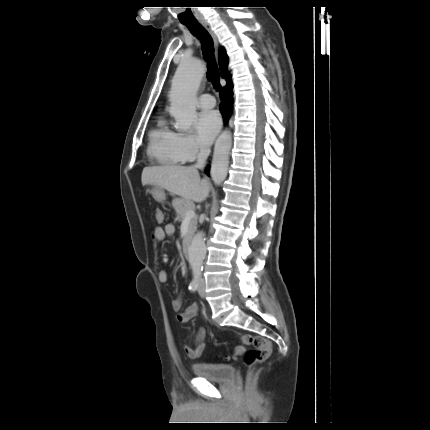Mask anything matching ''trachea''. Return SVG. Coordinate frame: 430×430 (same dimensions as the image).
<instances>
[{
	"label": "trachea",
	"instance_id": "obj_1",
	"mask_svg": "<svg viewBox=\"0 0 430 430\" xmlns=\"http://www.w3.org/2000/svg\"><path fill=\"white\" fill-rule=\"evenodd\" d=\"M190 32L197 37L202 43V51L204 59L207 62V79L210 81L216 90H219L220 77L217 63L214 58L213 39L208 31L199 23L184 24Z\"/></svg>",
	"mask_w": 430,
	"mask_h": 430
}]
</instances>
